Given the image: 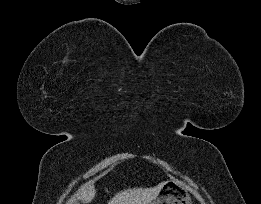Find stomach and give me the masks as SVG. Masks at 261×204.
I'll return each mask as SVG.
<instances>
[{"label": "stomach", "instance_id": "0dacf381", "mask_svg": "<svg viewBox=\"0 0 261 204\" xmlns=\"http://www.w3.org/2000/svg\"><path fill=\"white\" fill-rule=\"evenodd\" d=\"M151 204H192V200L182 183L171 180L162 185L158 197Z\"/></svg>", "mask_w": 261, "mask_h": 204}]
</instances>
